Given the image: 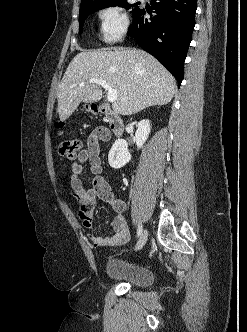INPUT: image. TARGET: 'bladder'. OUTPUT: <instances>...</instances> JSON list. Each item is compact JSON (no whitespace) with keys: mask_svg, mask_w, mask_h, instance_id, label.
<instances>
[{"mask_svg":"<svg viewBox=\"0 0 247 332\" xmlns=\"http://www.w3.org/2000/svg\"><path fill=\"white\" fill-rule=\"evenodd\" d=\"M106 273L114 281L126 283L134 287H147L152 283L150 270L139 263L111 258L106 263Z\"/></svg>","mask_w":247,"mask_h":332,"instance_id":"bladder-1","label":"bladder"}]
</instances>
